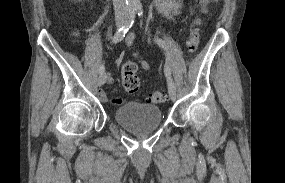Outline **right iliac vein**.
Listing matches in <instances>:
<instances>
[{
  "instance_id": "63e3f726",
  "label": "right iliac vein",
  "mask_w": 285,
  "mask_h": 183,
  "mask_svg": "<svg viewBox=\"0 0 285 183\" xmlns=\"http://www.w3.org/2000/svg\"><path fill=\"white\" fill-rule=\"evenodd\" d=\"M125 23H126V19L125 18H118L116 20L117 27H122ZM97 83H98L99 86H102L105 83V76H104V74H100L99 75Z\"/></svg>"
}]
</instances>
